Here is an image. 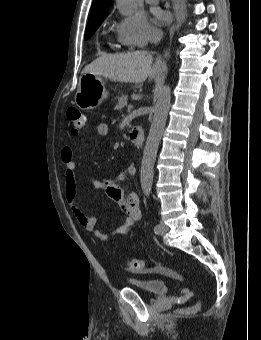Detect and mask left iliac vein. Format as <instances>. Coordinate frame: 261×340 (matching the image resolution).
Returning <instances> with one entry per match:
<instances>
[{
	"instance_id": "left-iliac-vein-1",
	"label": "left iliac vein",
	"mask_w": 261,
	"mask_h": 340,
	"mask_svg": "<svg viewBox=\"0 0 261 340\" xmlns=\"http://www.w3.org/2000/svg\"><path fill=\"white\" fill-rule=\"evenodd\" d=\"M159 226H160V229H159V231L156 232V234H159V235L166 234L167 231H168V226L163 222H160Z\"/></svg>"
}]
</instances>
